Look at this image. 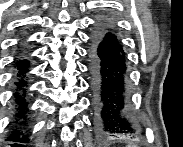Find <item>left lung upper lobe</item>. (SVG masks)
Here are the masks:
<instances>
[{"label": "left lung upper lobe", "mask_w": 183, "mask_h": 147, "mask_svg": "<svg viewBox=\"0 0 183 147\" xmlns=\"http://www.w3.org/2000/svg\"><path fill=\"white\" fill-rule=\"evenodd\" d=\"M103 27H106V28H108V27H110V26L107 24V25H103Z\"/></svg>", "instance_id": "left-lung-upper-lobe-1"}]
</instances>
